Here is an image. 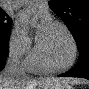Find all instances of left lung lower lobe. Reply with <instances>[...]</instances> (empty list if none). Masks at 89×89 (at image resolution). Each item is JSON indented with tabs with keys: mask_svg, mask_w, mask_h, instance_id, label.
I'll return each instance as SVG.
<instances>
[{
	"mask_svg": "<svg viewBox=\"0 0 89 89\" xmlns=\"http://www.w3.org/2000/svg\"><path fill=\"white\" fill-rule=\"evenodd\" d=\"M79 48V59L76 65L68 72L60 76L81 77L89 79V37L86 38Z\"/></svg>",
	"mask_w": 89,
	"mask_h": 89,
	"instance_id": "1",
	"label": "left lung lower lobe"
}]
</instances>
